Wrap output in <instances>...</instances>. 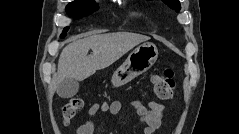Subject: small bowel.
Returning a JSON list of instances; mask_svg holds the SVG:
<instances>
[{
    "instance_id": "1",
    "label": "small bowel",
    "mask_w": 239,
    "mask_h": 134,
    "mask_svg": "<svg viewBox=\"0 0 239 134\" xmlns=\"http://www.w3.org/2000/svg\"><path fill=\"white\" fill-rule=\"evenodd\" d=\"M130 107L135 112L139 121L145 124L143 134H155V132L161 127L166 112V107L163 104L156 101H149L147 104H143L138 100H133ZM121 110L122 104L119 101L94 103L88 111L90 119L84 124L78 126L75 133L94 134L96 124L93 118L98 113L103 112L117 115Z\"/></svg>"
}]
</instances>
